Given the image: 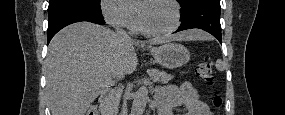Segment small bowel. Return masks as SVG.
I'll return each instance as SVG.
<instances>
[{"mask_svg": "<svg viewBox=\"0 0 285 115\" xmlns=\"http://www.w3.org/2000/svg\"><path fill=\"white\" fill-rule=\"evenodd\" d=\"M159 115H211L208 105L201 100L191 83L168 85L158 90ZM182 110V112H179Z\"/></svg>", "mask_w": 285, "mask_h": 115, "instance_id": "1", "label": "small bowel"}]
</instances>
